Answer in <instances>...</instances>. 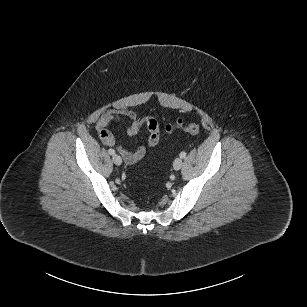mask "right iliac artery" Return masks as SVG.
<instances>
[{
    "label": "right iliac artery",
    "mask_w": 307,
    "mask_h": 307,
    "mask_svg": "<svg viewBox=\"0 0 307 307\" xmlns=\"http://www.w3.org/2000/svg\"><path fill=\"white\" fill-rule=\"evenodd\" d=\"M108 152H109L110 155H114V154H115V150L112 149V148H110V149L108 150Z\"/></svg>",
    "instance_id": "82829eb1"
}]
</instances>
